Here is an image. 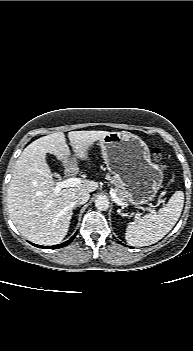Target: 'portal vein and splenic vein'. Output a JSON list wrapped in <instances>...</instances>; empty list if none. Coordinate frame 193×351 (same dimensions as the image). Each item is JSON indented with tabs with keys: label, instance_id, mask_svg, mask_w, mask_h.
Masks as SVG:
<instances>
[{
	"label": "portal vein and splenic vein",
	"instance_id": "portal-vein-and-splenic-vein-1",
	"mask_svg": "<svg viewBox=\"0 0 193 351\" xmlns=\"http://www.w3.org/2000/svg\"><path fill=\"white\" fill-rule=\"evenodd\" d=\"M81 178L71 177L66 180L56 182V186L54 188V193L60 192L63 188L75 187L81 184ZM110 195L113 198V201L118 205H124V203L118 198L117 194L113 189L110 191Z\"/></svg>",
	"mask_w": 193,
	"mask_h": 351
}]
</instances>
